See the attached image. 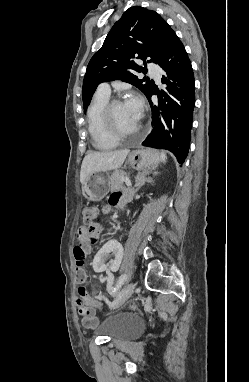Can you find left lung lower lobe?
<instances>
[{"mask_svg": "<svg viewBox=\"0 0 249 382\" xmlns=\"http://www.w3.org/2000/svg\"><path fill=\"white\" fill-rule=\"evenodd\" d=\"M158 65L166 72L162 83L167 87L160 92L154 86L146 96L152 110V130L142 145L167 149L183 163L190 144L195 83L191 62L178 37ZM153 94L158 96L155 104L151 101Z\"/></svg>", "mask_w": 249, "mask_h": 382, "instance_id": "obj_1", "label": "left lung lower lobe"}]
</instances>
